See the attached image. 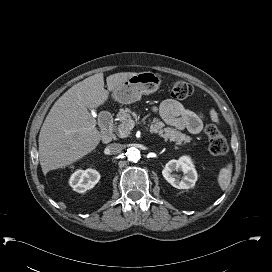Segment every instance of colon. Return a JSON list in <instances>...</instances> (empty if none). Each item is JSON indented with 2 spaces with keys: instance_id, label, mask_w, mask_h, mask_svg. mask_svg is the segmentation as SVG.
<instances>
[{
  "instance_id": "colon-1",
  "label": "colon",
  "mask_w": 272,
  "mask_h": 272,
  "mask_svg": "<svg viewBox=\"0 0 272 272\" xmlns=\"http://www.w3.org/2000/svg\"><path fill=\"white\" fill-rule=\"evenodd\" d=\"M169 92L173 98L183 100L192 94L193 88L187 82L177 81L170 85ZM205 134L208 138L211 154L214 156H224L228 151V144L219 128L215 124L210 123L205 128Z\"/></svg>"
}]
</instances>
